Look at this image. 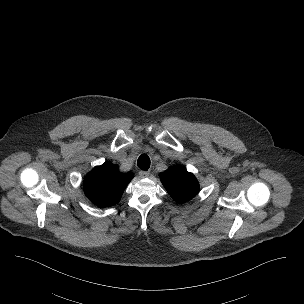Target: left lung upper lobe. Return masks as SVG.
Segmentation results:
<instances>
[{"instance_id":"left-lung-upper-lobe-1","label":"left lung upper lobe","mask_w":304,"mask_h":304,"mask_svg":"<svg viewBox=\"0 0 304 304\" xmlns=\"http://www.w3.org/2000/svg\"><path fill=\"white\" fill-rule=\"evenodd\" d=\"M161 182L177 202H186L199 192V183L192 173L181 167H172L160 174Z\"/></svg>"}]
</instances>
